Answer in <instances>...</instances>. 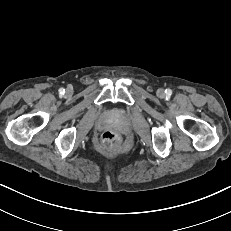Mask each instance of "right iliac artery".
<instances>
[{"label":"right iliac artery","instance_id":"right-iliac-artery-1","mask_svg":"<svg viewBox=\"0 0 231 231\" xmlns=\"http://www.w3.org/2000/svg\"><path fill=\"white\" fill-rule=\"evenodd\" d=\"M59 93H60V94H64V93H65V89H64V88H60V89H59Z\"/></svg>","mask_w":231,"mask_h":231}]
</instances>
